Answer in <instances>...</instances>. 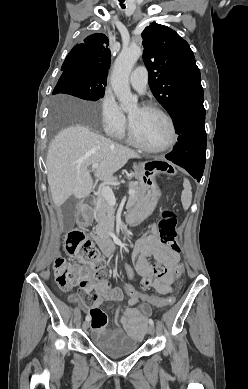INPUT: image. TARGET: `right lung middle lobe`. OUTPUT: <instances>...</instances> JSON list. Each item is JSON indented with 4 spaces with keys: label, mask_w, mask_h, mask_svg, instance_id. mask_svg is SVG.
<instances>
[{
    "label": "right lung middle lobe",
    "mask_w": 248,
    "mask_h": 389,
    "mask_svg": "<svg viewBox=\"0 0 248 389\" xmlns=\"http://www.w3.org/2000/svg\"><path fill=\"white\" fill-rule=\"evenodd\" d=\"M106 80L94 78L88 72L81 70H64L53 94L65 93L75 97L96 101L103 98L105 93ZM91 114V111L87 112Z\"/></svg>",
    "instance_id": "obj_1"
}]
</instances>
